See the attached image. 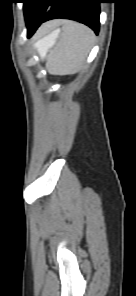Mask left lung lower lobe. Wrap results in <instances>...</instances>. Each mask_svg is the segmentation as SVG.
I'll return each instance as SVG.
<instances>
[{
  "label": "left lung lower lobe",
  "mask_w": 136,
  "mask_h": 296,
  "mask_svg": "<svg viewBox=\"0 0 136 296\" xmlns=\"http://www.w3.org/2000/svg\"><path fill=\"white\" fill-rule=\"evenodd\" d=\"M100 3L103 0H53L43 18L27 28V37L30 38L41 23L55 18L76 20L98 34Z\"/></svg>",
  "instance_id": "1"
}]
</instances>
